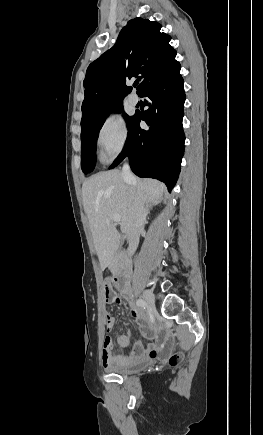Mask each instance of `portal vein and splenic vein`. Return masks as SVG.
<instances>
[{
    "label": "portal vein and splenic vein",
    "mask_w": 263,
    "mask_h": 435,
    "mask_svg": "<svg viewBox=\"0 0 263 435\" xmlns=\"http://www.w3.org/2000/svg\"><path fill=\"white\" fill-rule=\"evenodd\" d=\"M113 220H114L115 222H120V221H121V218H120L119 215H114V216H113Z\"/></svg>",
    "instance_id": "obj_1"
}]
</instances>
